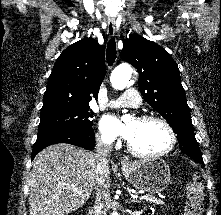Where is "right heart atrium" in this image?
<instances>
[{
  "label": "right heart atrium",
  "mask_w": 221,
  "mask_h": 215,
  "mask_svg": "<svg viewBox=\"0 0 221 215\" xmlns=\"http://www.w3.org/2000/svg\"><path fill=\"white\" fill-rule=\"evenodd\" d=\"M97 140H98L99 143L105 144V145H109L113 141V139H111V138H109L105 135H100V134L97 136Z\"/></svg>",
  "instance_id": "obj_1"
}]
</instances>
